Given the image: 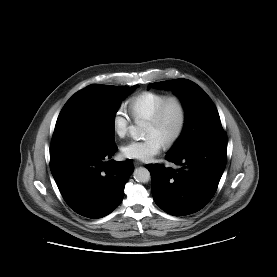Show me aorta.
Wrapping results in <instances>:
<instances>
[{"instance_id": "762f6f07", "label": "aorta", "mask_w": 277, "mask_h": 277, "mask_svg": "<svg viewBox=\"0 0 277 277\" xmlns=\"http://www.w3.org/2000/svg\"><path fill=\"white\" fill-rule=\"evenodd\" d=\"M129 133L133 139L138 140L144 136V128L142 124L130 126ZM133 177L137 182L147 183L151 179L150 172L145 167H139L134 170Z\"/></svg>"}]
</instances>
